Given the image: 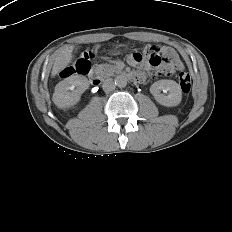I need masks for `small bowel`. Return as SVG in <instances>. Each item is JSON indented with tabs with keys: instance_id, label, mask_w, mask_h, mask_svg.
I'll return each instance as SVG.
<instances>
[{
	"instance_id": "small-bowel-1",
	"label": "small bowel",
	"mask_w": 232,
	"mask_h": 232,
	"mask_svg": "<svg viewBox=\"0 0 232 232\" xmlns=\"http://www.w3.org/2000/svg\"><path fill=\"white\" fill-rule=\"evenodd\" d=\"M163 49L167 55H169L173 58L175 67L177 69L181 68L182 64H181L175 50L171 47H166V46H163ZM129 62L133 66H139V69L133 73V76L136 79L142 78V76H143V73L141 71L142 68H148L149 65H151L150 62L148 61V59L143 54L140 55L139 60L135 59L134 55H132L129 58Z\"/></svg>"
}]
</instances>
